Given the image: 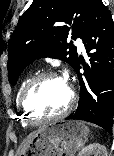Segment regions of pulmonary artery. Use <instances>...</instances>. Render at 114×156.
<instances>
[{
	"instance_id": "1",
	"label": "pulmonary artery",
	"mask_w": 114,
	"mask_h": 156,
	"mask_svg": "<svg viewBox=\"0 0 114 156\" xmlns=\"http://www.w3.org/2000/svg\"><path fill=\"white\" fill-rule=\"evenodd\" d=\"M76 45H77L79 51H84V44L81 39L76 40Z\"/></svg>"
}]
</instances>
